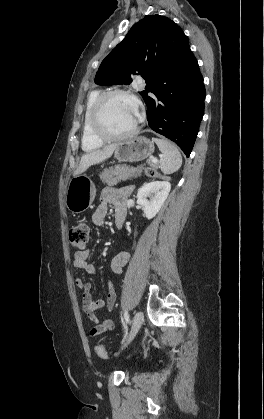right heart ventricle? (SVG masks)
<instances>
[{"instance_id":"right-heart-ventricle-1","label":"right heart ventricle","mask_w":264,"mask_h":419,"mask_svg":"<svg viewBox=\"0 0 264 419\" xmlns=\"http://www.w3.org/2000/svg\"><path fill=\"white\" fill-rule=\"evenodd\" d=\"M101 94L100 90H94L92 91L87 99L86 107L84 111V117H83V125H82V135H81V146L84 151H92L95 149H98L102 146L103 141L97 139L91 132L90 129V114L91 109L93 107L94 102L98 98V96Z\"/></svg>"}]
</instances>
